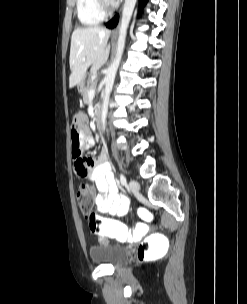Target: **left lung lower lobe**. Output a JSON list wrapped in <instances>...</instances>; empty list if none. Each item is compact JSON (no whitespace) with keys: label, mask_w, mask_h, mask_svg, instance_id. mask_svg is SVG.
Segmentation results:
<instances>
[{"label":"left lung lower lobe","mask_w":247,"mask_h":304,"mask_svg":"<svg viewBox=\"0 0 247 304\" xmlns=\"http://www.w3.org/2000/svg\"><path fill=\"white\" fill-rule=\"evenodd\" d=\"M146 2H147V0H141L140 1L141 6H144ZM118 19H119V16L116 15L112 20H110L108 23H106V26L108 28H114L118 22Z\"/></svg>","instance_id":"0a47b994"}]
</instances>
